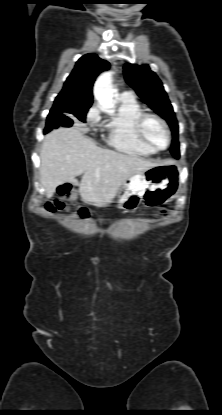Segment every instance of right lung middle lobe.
Segmentation results:
<instances>
[{
	"instance_id": "dd1d6c3e",
	"label": "right lung middle lobe",
	"mask_w": 222,
	"mask_h": 415,
	"mask_svg": "<svg viewBox=\"0 0 222 415\" xmlns=\"http://www.w3.org/2000/svg\"><path fill=\"white\" fill-rule=\"evenodd\" d=\"M90 106L91 105H71L61 106L56 109L52 108L47 117L45 129L49 132L53 128H58L59 126L71 127L73 125V117L85 122L86 113Z\"/></svg>"
}]
</instances>
